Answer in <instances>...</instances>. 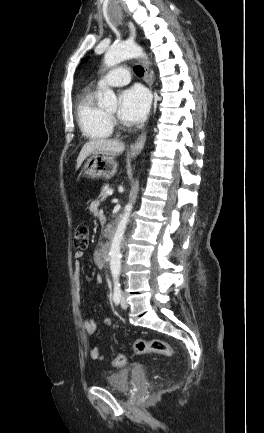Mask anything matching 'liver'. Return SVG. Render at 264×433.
<instances>
[{
    "label": "liver",
    "mask_w": 264,
    "mask_h": 433,
    "mask_svg": "<svg viewBox=\"0 0 264 433\" xmlns=\"http://www.w3.org/2000/svg\"><path fill=\"white\" fill-rule=\"evenodd\" d=\"M124 149L125 144L117 140L93 139L82 147L77 158L76 169H78L83 161L91 154L100 153L115 156L121 154Z\"/></svg>",
    "instance_id": "1"
}]
</instances>
